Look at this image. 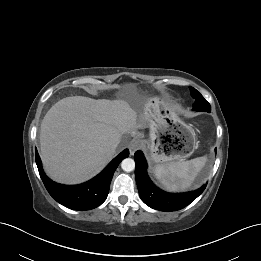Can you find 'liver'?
<instances>
[{"label": "liver", "mask_w": 261, "mask_h": 261, "mask_svg": "<svg viewBox=\"0 0 261 261\" xmlns=\"http://www.w3.org/2000/svg\"><path fill=\"white\" fill-rule=\"evenodd\" d=\"M158 106V99L139 106L123 99H61L41 123V159L47 174L65 184L94 177L116 153L124 134L136 135L150 125L152 108Z\"/></svg>", "instance_id": "liver-1"}]
</instances>
